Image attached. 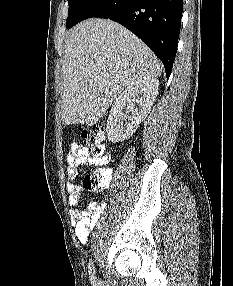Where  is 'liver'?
I'll use <instances>...</instances> for the list:
<instances>
[{
    "label": "liver",
    "instance_id": "1",
    "mask_svg": "<svg viewBox=\"0 0 233 286\" xmlns=\"http://www.w3.org/2000/svg\"><path fill=\"white\" fill-rule=\"evenodd\" d=\"M62 73L64 123L92 126L125 87L143 76H160L162 65L132 32L92 18L68 32Z\"/></svg>",
    "mask_w": 233,
    "mask_h": 286
}]
</instances>
